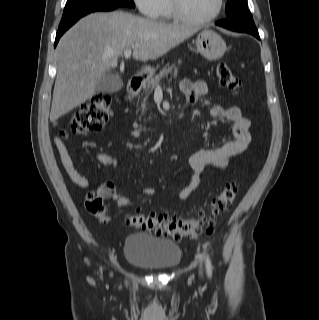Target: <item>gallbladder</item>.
Here are the masks:
<instances>
[{
  "mask_svg": "<svg viewBox=\"0 0 319 320\" xmlns=\"http://www.w3.org/2000/svg\"><path fill=\"white\" fill-rule=\"evenodd\" d=\"M123 87V81L117 74L107 72L97 83L96 90L98 92H117Z\"/></svg>",
  "mask_w": 319,
  "mask_h": 320,
  "instance_id": "bac80fb5",
  "label": "gallbladder"
}]
</instances>
